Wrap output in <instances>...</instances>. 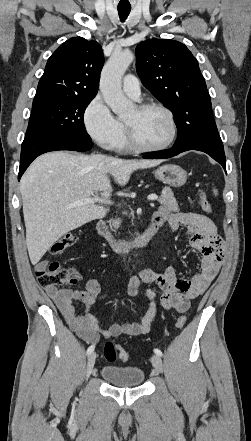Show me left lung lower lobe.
<instances>
[{
	"label": "left lung lower lobe",
	"instance_id": "obj_1",
	"mask_svg": "<svg viewBox=\"0 0 251 441\" xmlns=\"http://www.w3.org/2000/svg\"><path fill=\"white\" fill-rule=\"evenodd\" d=\"M177 139L172 148L153 155L143 156L145 159H165L176 156L184 151L198 150L207 153L219 162L226 171V159L222 140L214 118L201 115L191 122L179 127Z\"/></svg>",
	"mask_w": 251,
	"mask_h": 441
}]
</instances>
